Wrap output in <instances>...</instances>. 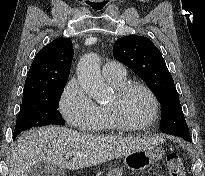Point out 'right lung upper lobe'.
<instances>
[{"instance_id":"obj_1","label":"right lung upper lobe","mask_w":205,"mask_h":176,"mask_svg":"<svg viewBox=\"0 0 205 176\" xmlns=\"http://www.w3.org/2000/svg\"><path fill=\"white\" fill-rule=\"evenodd\" d=\"M73 45L69 38H57L35 56L27 74L23 96L64 85L69 77Z\"/></svg>"}]
</instances>
